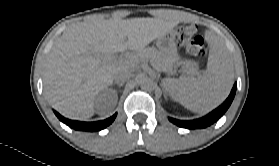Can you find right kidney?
Segmentation results:
<instances>
[{"label":"right kidney","mask_w":279,"mask_h":166,"mask_svg":"<svg viewBox=\"0 0 279 166\" xmlns=\"http://www.w3.org/2000/svg\"><path fill=\"white\" fill-rule=\"evenodd\" d=\"M107 93H112L113 97H112L111 106H114L117 102V94L115 93V91H107ZM107 93L106 92L102 93L99 96V100L105 102L107 100Z\"/></svg>","instance_id":"1"}]
</instances>
